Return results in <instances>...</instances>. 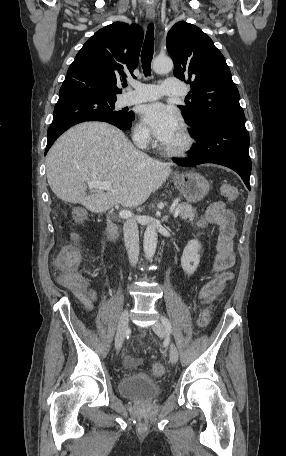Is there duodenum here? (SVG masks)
<instances>
[{
	"mask_svg": "<svg viewBox=\"0 0 286 456\" xmlns=\"http://www.w3.org/2000/svg\"><path fill=\"white\" fill-rule=\"evenodd\" d=\"M109 234L111 236V238L115 241V242H120V233H119V229H118V226L115 222L111 221L109 223Z\"/></svg>",
	"mask_w": 286,
	"mask_h": 456,
	"instance_id": "410a0bca",
	"label": "duodenum"
}]
</instances>
